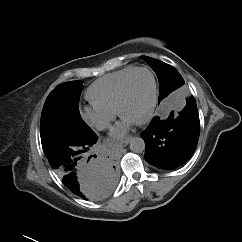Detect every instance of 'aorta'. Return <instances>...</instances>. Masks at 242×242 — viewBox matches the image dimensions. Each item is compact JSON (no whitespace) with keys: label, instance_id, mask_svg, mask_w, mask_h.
<instances>
[{"label":"aorta","instance_id":"1","mask_svg":"<svg viewBox=\"0 0 242 242\" xmlns=\"http://www.w3.org/2000/svg\"><path fill=\"white\" fill-rule=\"evenodd\" d=\"M130 150L134 153H142L145 150V142L141 137H133L130 140Z\"/></svg>","mask_w":242,"mask_h":242}]
</instances>
